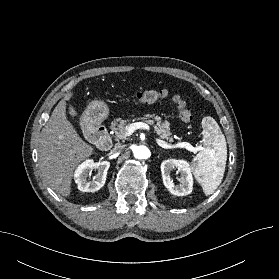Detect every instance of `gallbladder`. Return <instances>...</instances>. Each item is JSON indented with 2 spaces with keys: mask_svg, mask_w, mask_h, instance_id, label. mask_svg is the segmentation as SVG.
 <instances>
[{
  "mask_svg": "<svg viewBox=\"0 0 279 279\" xmlns=\"http://www.w3.org/2000/svg\"><path fill=\"white\" fill-rule=\"evenodd\" d=\"M68 112H69V115H70L72 118H74V117L77 116V111H76L75 108H74L73 106H71V105L69 106Z\"/></svg>",
  "mask_w": 279,
  "mask_h": 279,
  "instance_id": "obj_1",
  "label": "gallbladder"
}]
</instances>
